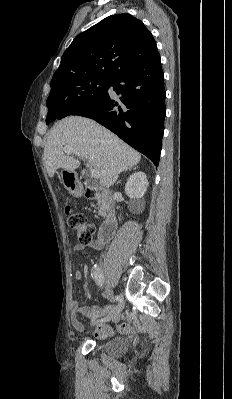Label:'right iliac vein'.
<instances>
[{"instance_id":"1","label":"right iliac vein","mask_w":232,"mask_h":399,"mask_svg":"<svg viewBox=\"0 0 232 399\" xmlns=\"http://www.w3.org/2000/svg\"><path fill=\"white\" fill-rule=\"evenodd\" d=\"M120 299L117 305V309L114 312V314L112 315L113 319H116L117 316L119 315V313L121 312V310H124V307L126 305V300H124L122 293H119ZM91 325H97V322H91Z\"/></svg>"}]
</instances>
